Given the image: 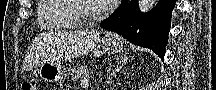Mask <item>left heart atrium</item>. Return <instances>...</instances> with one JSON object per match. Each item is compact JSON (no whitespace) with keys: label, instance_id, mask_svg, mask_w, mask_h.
I'll use <instances>...</instances> for the list:
<instances>
[{"label":"left heart atrium","instance_id":"1","mask_svg":"<svg viewBox=\"0 0 216 90\" xmlns=\"http://www.w3.org/2000/svg\"><path fill=\"white\" fill-rule=\"evenodd\" d=\"M123 0H97V3H103V7H118V3H122Z\"/></svg>","mask_w":216,"mask_h":90}]
</instances>
